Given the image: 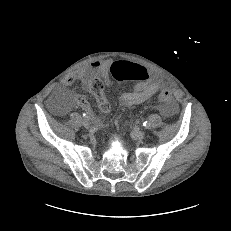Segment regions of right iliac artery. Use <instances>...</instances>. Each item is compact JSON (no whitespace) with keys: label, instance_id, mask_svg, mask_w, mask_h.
Returning a JSON list of instances; mask_svg holds the SVG:
<instances>
[{"label":"right iliac artery","instance_id":"82829eb1","mask_svg":"<svg viewBox=\"0 0 231 231\" xmlns=\"http://www.w3.org/2000/svg\"><path fill=\"white\" fill-rule=\"evenodd\" d=\"M83 117H84L85 120H89L90 119L89 116H87L85 113H83Z\"/></svg>","mask_w":231,"mask_h":231}]
</instances>
